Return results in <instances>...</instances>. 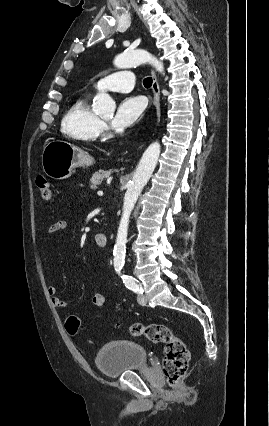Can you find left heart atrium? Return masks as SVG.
Listing matches in <instances>:
<instances>
[{
    "instance_id": "1",
    "label": "left heart atrium",
    "mask_w": 269,
    "mask_h": 426,
    "mask_svg": "<svg viewBox=\"0 0 269 426\" xmlns=\"http://www.w3.org/2000/svg\"><path fill=\"white\" fill-rule=\"evenodd\" d=\"M145 101L141 97H127L117 107L112 120V127L116 130H125L134 125L143 115Z\"/></svg>"
}]
</instances>
